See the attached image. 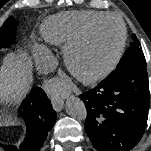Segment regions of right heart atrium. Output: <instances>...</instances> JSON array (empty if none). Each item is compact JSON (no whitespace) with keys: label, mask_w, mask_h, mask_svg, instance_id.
Returning <instances> with one entry per match:
<instances>
[{"label":"right heart atrium","mask_w":151,"mask_h":151,"mask_svg":"<svg viewBox=\"0 0 151 151\" xmlns=\"http://www.w3.org/2000/svg\"><path fill=\"white\" fill-rule=\"evenodd\" d=\"M36 55L39 61L44 60L48 55V50L45 47H39L36 50Z\"/></svg>","instance_id":"1"}]
</instances>
